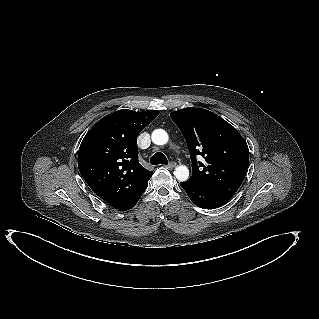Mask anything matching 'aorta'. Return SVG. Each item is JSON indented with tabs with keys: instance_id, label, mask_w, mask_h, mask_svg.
Returning a JSON list of instances; mask_svg holds the SVG:
<instances>
[{
	"instance_id": "obj_1",
	"label": "aorta",
	"mask_w": 319,
	"mask_h": 319,
	"mask_svg": "<svg viewBox=\"0 0 319 319\" xmlns=\"http://www.w3.org/2000/svg\"><path fill=\"white\" fill-rule=\"evenodd\" d=\"M152 142L156 145H165L168 142V133L163 129H155L151 134ZM174 175L178 181L184 182L189 178V169L185 165L176 167Z\"/></svg>"
}]
</instances>
